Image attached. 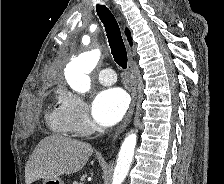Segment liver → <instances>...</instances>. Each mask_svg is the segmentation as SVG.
Masks as SVG:
<instances>
[{"mask_svg":"<svg viewBox=\"0 0 224 184\" xmlns=\"http://www.w3.org/2000/svg\"><path fill=\"white\" fill-rule=\"evenodd\" d=\"M93 153V147L82 141L51 135L42 139L25 166V182L55 179L80 171Z\"/></svg>","mask_w":224,"mask_h":184,"instance_id":"obj_1","label":"liver"}]
</instances>
